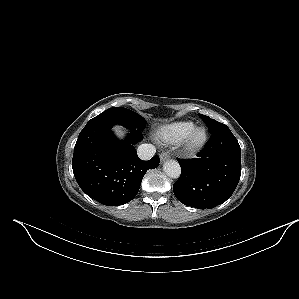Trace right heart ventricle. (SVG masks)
Masks as SVG:
<instances>
[{"instance_id": "right-heart-ventricle-1", "label": "right heart ventricle", "mask_w": 299, "mask_h": 299, "mask_svg": "<svg viewBox=\"0 0 299 299\" xmlns=\"http://www.w3.org/2000/svg\"><path fill=\"white\" fill-rule=\"evenodd\" d=\"M195 127L192 121H175L159 128L157 136L166 144L181 142L187 134Z\"/></svg>"}]
</instances>
